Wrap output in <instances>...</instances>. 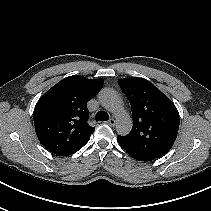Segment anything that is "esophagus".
Here are the masks:
<instances>
[{"label": "esophagus", "instance_id": "esophagus-1", "mask_svg": "<svg viewBox=\"0 0 211 211\" xmlns=\"http://www.w3.org/2000/svg\"><path fill=\"white\" fill-rule=\"evenodd\" d=\"M108 125H110V126H115V124H116V121H115V119H110L109 121H107L106 122Z\"/></svg>", "mask_w": 211, "mask_h": 211}]
</instances>
